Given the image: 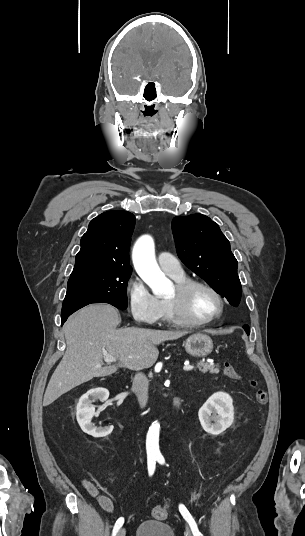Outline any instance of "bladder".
<instances>
[{
  "label": "bladder",
  "mask_w": 305,
  "mask_h": 536,
  "mask_svg": "<svg viewBox=\"0 0 305 536\" xmlns=\"http://www.w3.org/2000/svg\"><path fill=\"white\" fill-rule=\"evenodd\" d=\"M134 536H175V532L166 520L147 519L137 524Z\"/></svg>",
  "instance_id": "1"
}]
</instances>
